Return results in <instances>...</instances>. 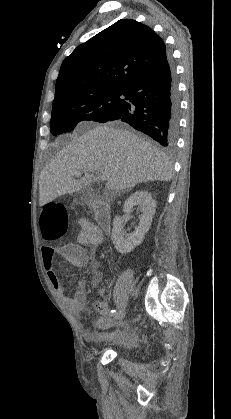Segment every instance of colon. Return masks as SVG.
I'll use <instances>...</instances> for the list:
<instances>
[{
    "label": "colon",
    "mask_w": 231,
    "mask_h": 419,
    "mask_svg": "<svg viewBox=\"0 0 231 419\" xmlns=\"http://www.w3.org/2000/svg\"><path fill=\"white\" fill-rule=\"evenodd\" d=\"M42 226L53 239L64 233L67 227L66 208L60 204L45 207L42 214Z\"/></svg>",
    "instance_id": "1"
}]
</instances>
